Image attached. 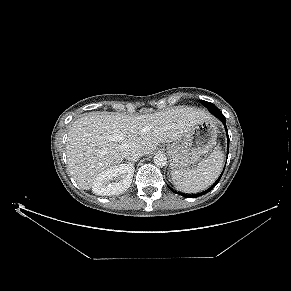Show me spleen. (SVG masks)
I'll return each mask as SVG.
<instances>
[{
    "label": "spleen",
    "mask_w": 291,
    "mask_h": 291,
    "mask_svg": "<svg viewBox=\"0 0 291 291\" xmlns=\"http://www.w3.org/2000/svg\"><path fill=\"white\" fill-rule=\"evenodd\" d=\"M224 154L214 150L209 157L197 167L187 171H173L172 181L177 190L184 193H198L209 188L220 175Z\"/></svg>",
    "instance_id": "3e777b00"
}]
</instances>
